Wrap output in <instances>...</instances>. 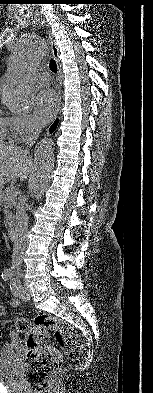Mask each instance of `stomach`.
I'll use <instances>...</instances> for the list:
<instances>
[{
    "label": "stomach",
    "instance_id": "0dacf381",
    "mask_svg": "<svg viewBox=\"0 0 153 393\" xmlns=\"http://www.w3.org/2000/svg\"><path fill=\"white\" fill-rule=\"evenodd\" d=\"M2 195V189H0V196Z\"/></svg>",
    "mask_w": 153,
    "mask_h": 393
}]
</instances>
